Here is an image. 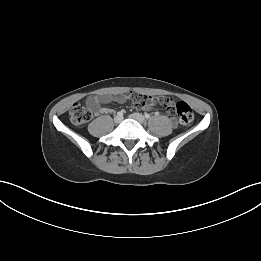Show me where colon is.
<instances>
[{"instance_id": "5ec220e1", "label": "colon", "mask_w": 261, "mask_h": 261, "mask_svg": "<svg viewBox=\"0 0 261 261\" xmlns=\"http://www.w3.org/2000/svg\"><path fill=\"white\" fill-rule=\"evenodd\" d=\"M167 112L170 115H176L180 124L189 126L194 120V113L190 105L184 101H175L173 98L164 96L161 98ZM132 104V103H131ZM92 117L89 108L81 103H76L70 110V120L75 126H82Z\"/></svg>"}]
</instances>
